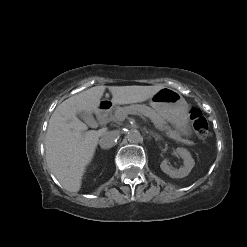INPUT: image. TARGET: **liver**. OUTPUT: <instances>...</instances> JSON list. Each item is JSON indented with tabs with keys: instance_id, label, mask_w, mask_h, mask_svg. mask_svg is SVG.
Masks as SVG:
<instances>
[{
	"instance_id": "liver-1",
	"label": "liver",
	"mask_w": 247,
	"mask_h": 247,
	"mask_svg": "<svg viewBox=\"0 0 247 247\" xmlns=\"http://www.w3.org/2000/svg\"><path fill=\"white\" fill-rule=\"evenodd\" d=\"M106 88L112 94V104L122 105L144 102L164 86H95L66 99L55 109L46 134V160L51 173L67 191L80 190L82 177L102 135L87 131V125L76 115L82 111L97 113Z\"/></svg>"
}]
</instances>
